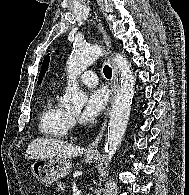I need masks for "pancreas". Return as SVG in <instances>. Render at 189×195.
<instances>
[{
    "mask_svg": "<svg viewBox=\"0 0 189 195\" xmlns=\"http://www.w3.org/2000/svg\"><path fill=\"white\" fill-rule=\"evenodd\" d=\"M64 188H65V184L63 182H58L57 183V190H58V192L63 191Z\"/></svg>",
    "mask_w": 189,
    "mask_h": 195,
    "instance_id": "1",
    "label": "pancreas"
}]
</instances>
